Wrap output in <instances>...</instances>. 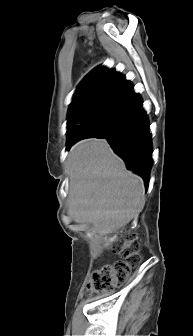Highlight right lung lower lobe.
<instances>
[{"instance_id": "1", "label": "right lung lower lobe", "mask_w": 193, "mask_h": 336, "mask_svg": "<svg viewBox=\"0 0 193 336\" xmlns=\"http://www.w3.org/2000/svg\"><path fill=\"white\" fill-rule=\"evenodd\" d=\"M105 138L126 163L149 184L152 167V142L149 121L140 96L131 86L119 99L103 129L95 136ZM74 143L67 144L70 148Z\"/></svg>"}]
</instances>
